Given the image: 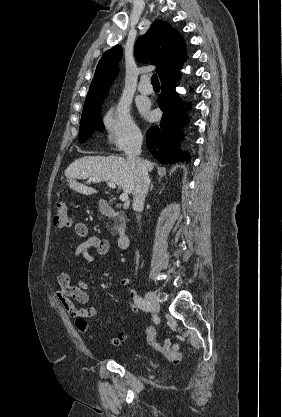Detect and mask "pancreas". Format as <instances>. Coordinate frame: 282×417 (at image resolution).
Returning <instances> with one entry per match:
<instances>
[{"label":"pancreas","mask_w":282,"mask_h":417,"mask_svg":"<svg viewBox=\"0 0 282 417\" xmlns=\"http://www.w3.org/2000/svg\"><path fill=\"white\" fill-rule=\"evenodd\" d=\"M118 223H119V225H125L126 219H125L124 215H119ZM115 229H117V227H111V229H110V231H112L111 235H113V231H115Z\"/></svg>","instance_id":"cf45deb5"}]
</instances>
